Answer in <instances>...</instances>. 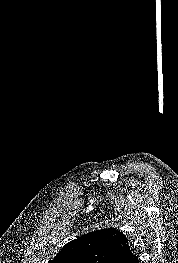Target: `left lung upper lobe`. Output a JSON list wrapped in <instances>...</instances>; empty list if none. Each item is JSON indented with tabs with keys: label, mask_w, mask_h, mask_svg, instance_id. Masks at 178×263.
Listing matches in <instances>:
<instances>
[{
	"label": "left lung upper lobe",
	"mask_w": 178,
	"mask_h": 263,
	"mask_svg": "<svg viewBox=\"0 0 178 263\" xmlns=\"http://www.w3.org/2000/svg\"><path fill=\"white\" fill-rule=\"evenodd\" d=\"M127 241L115 228L96 230L67 243L48 263H109Z\"/></svg>",
	"instance_id": "5c2ea615"
}]
</instances>
